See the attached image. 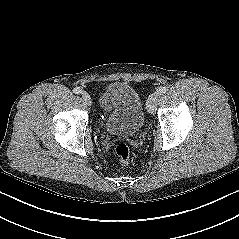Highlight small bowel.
Masks as SVG:
<instances>
[{
	"label": "small bowel",
	"instance_id": "small-bowel-1",
	"mask_svg": "<svg viewBox=\"0 0 239 239\" xmlns=\"http://www.w3.org/2000/svg\"><path fill=\"white\" fill-rule=\"evenodd\" d=\"M103 106L107 109L110 110V104H109V95L105 96L103 98Z\"/></svg>",
	"mask_w": 239,
	"mask_h": 239
}]
</instances>
